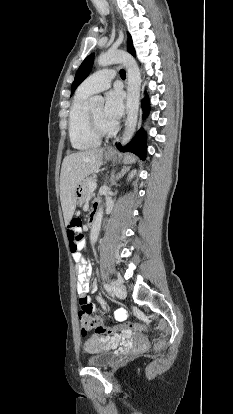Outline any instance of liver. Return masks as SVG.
<instances>
[{"label": "liver", "mask_w": 233, "mask_h": 414, "mask_svg": "<svg viewBox=\"0 0 233 414\" xmlns=\"http://www.w3.org/2000/svg\"><path fill=\"white\" fill-rule=\"evenodd\" d=\"M103 148H93L67 155L60 174V200L65 224L71 221L76 208V189L84 179L102 165Z\"/></svg>", "instance_id": "obj_1"}]
</instances>
